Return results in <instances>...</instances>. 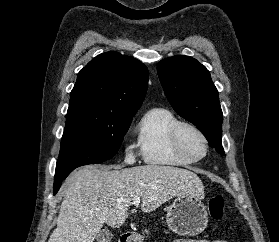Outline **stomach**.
Returning a JSON list of instances; mask_svg holds the SVG:
<instances>
[{"label":"stomach","mask_w":279,"mask_h":242,"mask_svg":"<svg viewBox=\"0 0 279 242\" xmlns=\"http://www.w3.org/2000/svg\"><path fill=\"white\" fill-rule=\"evenodd\" d=\"M166 221L173 233L181 236H195L207 226V208L196 196H178L168 208Z\"/></svg>","instance_id":"obj_1"}]
</instances>
